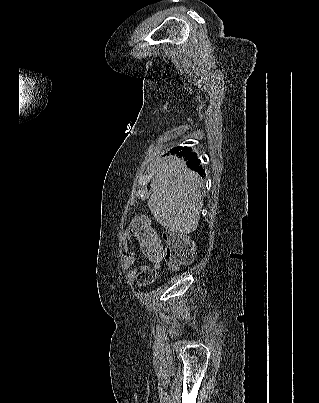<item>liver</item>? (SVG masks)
Returning <instances> with one entry per match:
<instances>
[{
	"label": "liver",
	"mask_w": 319,
	"mask_h": 403,
	"mask_svg": "<svg viewBox=\"0 0 319 403\" xmlns=\"http://www.w3.org/2000/svg\"><path fill=\"white\" fill-rule=\"evenodd\" d=\"M150 187L147 204L161 226L185 234L197 229L203 207L200 179L186 168L182 159L175 156L162 159Z\"/></svg>",
	"instance_id": "6515ba94"
}]
</instances>
